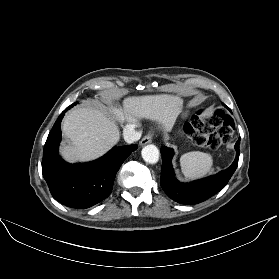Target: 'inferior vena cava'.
I'll use <instances>...</instances> for the list:
<instances>
[{"mask_svg":"<svg viewBox=\"0 0 279 279\" xmlns=\"http://www.w3.org/2000/svg\"><path fill=\"white\" fill-rule=\"evenodd\" d=\"M123 137L127 143L131 144L141 138V131L137 129L135 124H127L123 130Z\"/></svg>","mask_w":279,"mask_h":279,"instance_id":"1","label":"inferior vena cava"}]
</instances>
